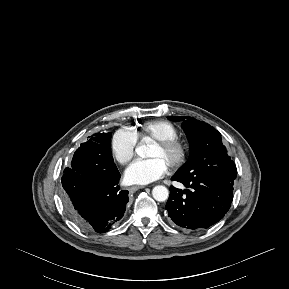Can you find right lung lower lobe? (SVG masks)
I'll use <instances>...</instances> for the list:
<instances>
[{
	"label": "right lung lower lobe",
	"instance_id": "1",
	"mask_svg": "<svg viewBox=\"0 0 289 289\" xmlns=\"http://www.w3.org/2000/svg\"><path fill=\"white\" fill-rule=\"evenodd\" d=\"M117 169L97 170L88 161L66 168L62 177L63 200L74 221L83 229L105 233L124 215L128 191L119 189Z\"/></svg>",
	"mask_w": 289,
	"mask_h": 289
}]
</instances>
